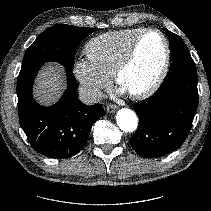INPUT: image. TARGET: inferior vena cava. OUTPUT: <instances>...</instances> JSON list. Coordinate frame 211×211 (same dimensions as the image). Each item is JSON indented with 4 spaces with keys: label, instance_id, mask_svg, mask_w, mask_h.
Instances as JSON below:
<instances>
[{
    "label": "inferior vena cava",
    "instance_id": "inferior-vena-cava-1",
    "mask_svg": "<svg viewBox=\"0 0 211 211\" xmlns=\"http://www.w3.org/2000/svg\"><path fill=\"white\" fill-rule=\"evenodd\" d=\"M103 96L102 91L97 88L82 87L79 90L80 101L87 105H93L100 102Z\"/></svg>",
    "mask_w": 211,
    "mask_h": 211
}]
</instances>
